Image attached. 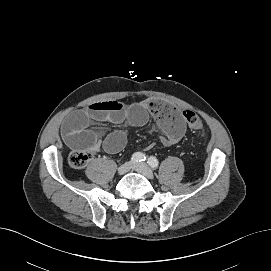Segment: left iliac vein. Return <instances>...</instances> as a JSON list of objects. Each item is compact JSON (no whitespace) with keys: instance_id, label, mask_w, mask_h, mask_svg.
I'll use <instances>...</instances> for the list:
<instances>
[{"instance_id":"4c4485c4","label":"left iliac vein","mask_w":271,"mask_h":271,"mask_svg":"<svg viewBox=\"0 0 271 271\" xmlns=\"http://www.w3.org/2000/svg\"><path fill=\"white\" fill-rule=\"evenodd\" d=\"M134 169L148 178H153V172L151 168L145 163H138L134 165Z\"/></svg>"}]
</instances>
